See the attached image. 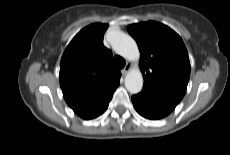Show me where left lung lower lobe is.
Masks as SVG:
<instances>
[{"label": "left lung lower lobe", "mask_w": 230, "mask_h": 155, "mask_svg": "<svg viewBox=\"0 0 230 155\" xmlns=\"http://www.w3.org/2000/svg\"><path fill=\"white\" fill-rule=\"evenodd\" d=\"M132 102L141 116L152 120L164 118L177 106L146 91L133 95Z\"/></svg>", "instance_id": "0a47b994"}]
</instances>
